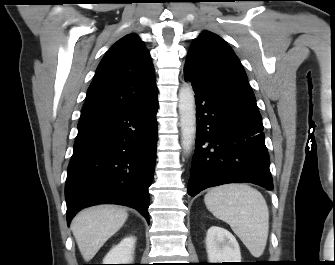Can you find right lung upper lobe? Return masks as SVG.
I'll return each instance as SVG.
<instances>
[{"mask_svg": "<svg viewBox=\"0 0 335 265\" xmlns=\"http://www.w3.org/2000/svg\"><path fill=\"white\" fill-rule=\"evenodd\" d=\"M156 97L150 54L136 34H128L117 41L100 62L80 120L132 109Z\"/></svg>", "mask_w": 335, "mask_h": 265, "instance_id": "cb5924a9", "label": "right lung upper lobe"}]
</instances>
